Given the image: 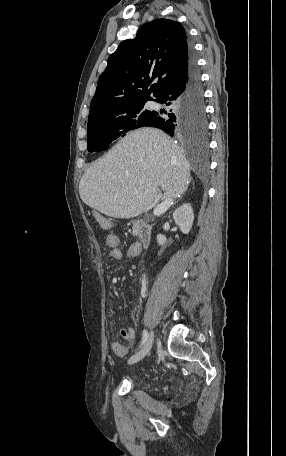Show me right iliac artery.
Listing matches in <instances>:
<instances>
[{
  "mask_svg": "<svg viewBox=\"0 0 286 456\" xmlns=\"http://www.w3.org/2000/svg\"><path fill=\"white\" fill-rule=\"evenodd\" d=\"M149 337V334L146 330L143 331V335H142V342H141V346H143L145 344V342L147 341Z\"/></svg>",
  "mask_w": 286,
  "mask_h": 456,
  "instance_id": "1",
  "label": "right iliac artery"
}]
</instances>
